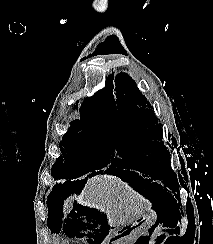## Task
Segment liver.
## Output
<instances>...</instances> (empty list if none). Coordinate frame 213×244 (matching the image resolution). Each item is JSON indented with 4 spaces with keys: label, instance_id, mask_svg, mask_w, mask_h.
<instances>
[{
    "label": "liver",
    "instance_id": "6515ba94",
    "mask_svg": "<svg viewBox=\"0 0 213 244\" xmlns=\"http://www.w3.org/2000/svg\"><path fill=\"white\" fill-rule=\"evenodd\" d=\"M74 200L82 206L109 213L111 221L117 224L137 219L151 206L128 183L110 175L89 178L80 194L70 195L63 205L65 216L72 210Z\"/></svg>",
    "mask_w": 213,
    "mask_h": 244
}]
</instances>
